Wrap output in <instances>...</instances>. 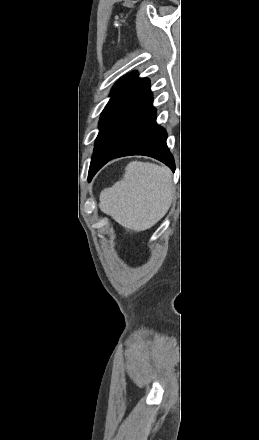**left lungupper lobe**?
<instances>
[{"label": "left lung upper lobe", "instance_id": "1", "mask_svg": "<svg viewBox=\"0 0 259 440\" xmlns=\"http://www.w3.org/2000/svg\"><path fill=\"white\" fill-rule=\"evenodd\" d=\"M149 86V80L147 78H138V73L134 71L119 79L112 88V97L100 117L99 134L95 141L89 177L97 158L111 139L118 125Z\"/></svg>", "mask_w": 259, "mask_h": 440}]
</instances>
